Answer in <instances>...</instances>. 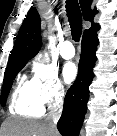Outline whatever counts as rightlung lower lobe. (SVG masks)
<instances>
[{
    "instance_id": "obj_1",
    "label": "right lung lower lobe",
    "mask_w": 117,
    "mask_h": 136,
    "mask_svg": "<svg viewBox=\"0 0 117 136\" xmlns=\"http://www.w3.org/2000/svg\"><path fill=\"white\" fill-rule=\"evenodd\" d=\"M97 31L84 34L82 37L78 77L67 91L63 112L57 123V128L63 136H78L87 111L89 85L94 77L95 51L99 44Z\"/></svg>"
}]
</instances>
